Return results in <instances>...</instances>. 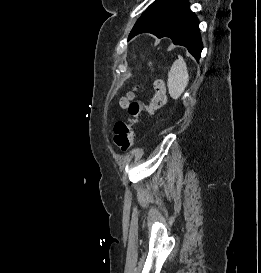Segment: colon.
Listing matches in <instances>:
<instances>
[{
    "mask_svg": "<svg viewBox=\"0 0 261 273\" xmlns=\"http://www.w3.org/2000/svg\"><path fill=\"white\" fill-rule=\"evenodd\" d=\"M154 94L151 101L144 104L134 100L133 95L128 93L120 99V106L126 108L130 115L127 121H119L114 126V143L122 151L131 148L134 142L135 127L142 114L153 115L158 109L164 106L166 102V89L162 79L157 78L154 81Z\"/></svg>",
    "mask_w": 261,
    "mask_h": 273,
    "instance_id": "obj_1",
    "label": "colon"
}]
</instances>
